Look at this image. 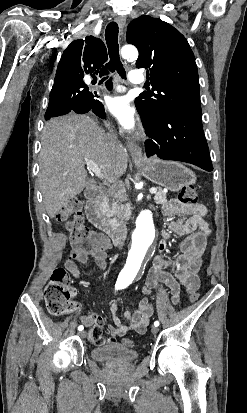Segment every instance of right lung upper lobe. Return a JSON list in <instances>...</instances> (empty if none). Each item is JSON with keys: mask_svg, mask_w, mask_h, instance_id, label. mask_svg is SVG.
<instances>
[{"mask_svg": "<svg viewBox=\"0 0 247 413\" xmlns=\"http://www.w3.org/2000/svg\"><path fill=\"white\" fill-rule=\"evenodd\" d=\"M104 43L93 36L85 40L73 41L63 52L57 67L55 83L82 81L84 74H107L104 63L107 61ZM93 73V74H92Z\"/></svg>", "mask_w": 247, "mask_h": 413, "instance_id": "cb5924a9", "label": "right lung upper lobe"}]
</instances>
